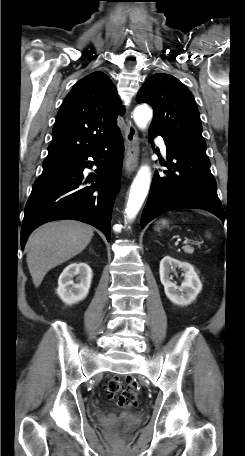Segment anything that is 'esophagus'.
I'll use <instances>...</instances> for the list:
<instances>
[{"label":"esophagus","mask_w":245,"mask_h":456,"mask_svg":"<svg viewBox=\"0 0 245 456\" xmlns=\"http://www.w3.org/2000/svg\"><path fill=\"white\" fill-rule=\"evenodd\" d=\"M127 128L125 131L126 145V166L125 171L128 175L132 174L138 167L139 158V138L137 130L132 122L127 118Z\"/></svg>","instance_id":"34e87169"}]
</instances>
